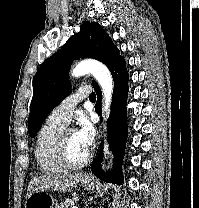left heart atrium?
<instances>
[{"mask_svg":"<svg viewBox=\"0 0 199 208\" xmlns=\"http://www.w3.org/2000/svg\"><path fill=\"white\" fill-rule=\"evenodd\" d=\"M75 133L80 143L89 149L94 140V128L86 117L82 116L79 118L78 129Z\"/></svg>","mask_w":199,"mask_h":208,"instance_id":"39dd6f15","label":"left heart atrium"}]
</instances>
